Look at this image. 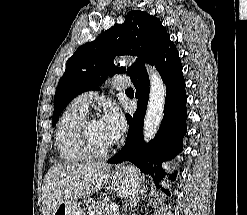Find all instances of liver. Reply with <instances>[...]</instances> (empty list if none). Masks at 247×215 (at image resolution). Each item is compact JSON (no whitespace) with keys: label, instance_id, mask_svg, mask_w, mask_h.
Segmentation results:
<instances>
[{"label":"liver","instance_id":"1","mask_svg":"<svg viewBox=\"0 0 247 215\" xmlns=\"http://www.w3.org/2000/svg\"><path fill=\"white\" fill-rule=\"evenodd\" d=\"M105 163L54 164L42 187L43 215H52L59 203L90 196L101 189L109 178Z\"/></svg>","mask_w":247,"mask_h":215}]
</instances>
